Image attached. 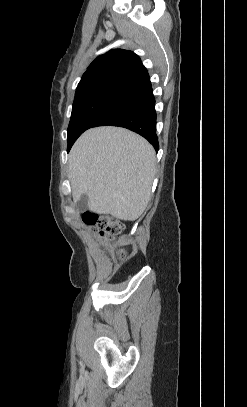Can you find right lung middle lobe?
I'll list each match as a JSON object with an SVG mask.
<instances>
[{
    "label": "right lung middle lobe",
    "instance_id": "dd1d6c3e",
    "mask_svg": "<svg viewBox=\"0 0 247 407\" xmlns=\"http://www.w3.org/2000/svg\"><path fill=\"white\" fill-rule=\"evenodd\" d=\"M136 93L128 88H109L74 101L68 126L67 150L85 130Z\"/></svg>",
    "mask_w": 247,
    "mask_h": 407
}]
</instances>
